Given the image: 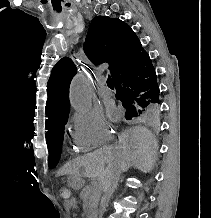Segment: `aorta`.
I'll return each mask as SVG.
<instances>
[{"label":"aorta","instance_id":"aorta-1","mask_svg":"<svg viewBox=\"0 0 211 218\" xmlns=\"http://www.w3.org/2000/svg\"><path fill=\"white\" fill-rule=\"evenodd\" d=\"M70 103L78 112H86L91 108V94L88 82L83 74H77L70 85Z\"/></svg>","mask_w":211,"mask_h":218}]
</instances>
